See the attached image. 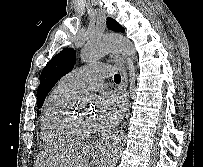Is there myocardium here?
Returning <instances> with one entry per match:
<instances>
[{
  "instance_id": "myocardium-1",
  "label": "myocardium",
  "mask_w": 203,
  "mask_h": 167,
  "mask_svg": "<svg viewBox=\"0 0 203 167\" xmlns=\"http://www.w3.org/2000/svg\"><path fill=\"white\" fill-rule=\"evenodd\" d=\"M64 127L75 139H86L96 132L95 129L84 127L73 110L65 117Z\"/></svg>"
}]
</instances>
